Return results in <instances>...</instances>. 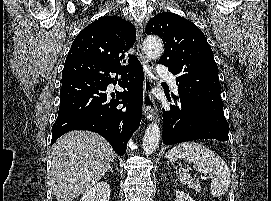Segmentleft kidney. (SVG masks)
Segmentation results:
<instances>
[{"label": "left kidney", "mask_w": 271, "mask_h": 201, "mask_svg": "<svg viewBox=\"0 0 271 201\" xmlns=\"http://www.w3.org/2000/svg\"><path fill=\"white\" fill-rule=\"evenodd\" d=\"M175 201H195L193 198H191L188 194H186L183 191H177L176 192V199Z\"/></svg>", "instance_id": "left-kidney-1"}]
</instances>
